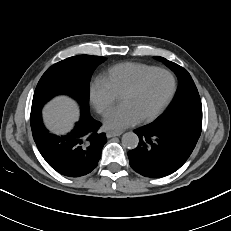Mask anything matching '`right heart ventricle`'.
<instances>
[{
    "mask_svg": "<svg viewBox=\"0 0 231 231\" xmlns=\"http://www.w3.org/2000/svg\"><path fill=\"white\" fill-rule=\"evenodd\" d=\"M156 68L152 65L126 62L109 68L103 78L116 96H122L141 76Z\"/></svg>",
    "mask_w": 231,
    "mask_h": 231,
    "instance_id": "e07e8e85",
    "label": "right heart ventricle"
}]
</instances>
